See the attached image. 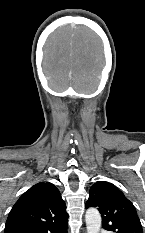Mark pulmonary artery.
I'll list each match as a JSON object with an SVG mask.
<instances>
[{
    "label": "pulmonary artery",
    "instance_id": "e3ab8cb5",
    "mask_svg": "<svg viewBox=\"0 0 145 233\" xmlns=\"http://www.w3.org/2000/svg\"><path fill=\"white\" fill-rule=\"evenodd\" d=\"M104 233H110L109 231H104Z\"/></svg>",
    "mask_w": 145,
    "mask_h": 233
}]
</instances>
